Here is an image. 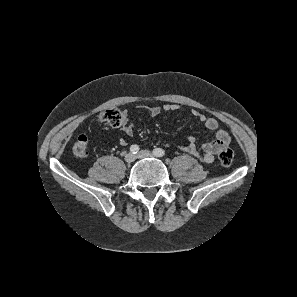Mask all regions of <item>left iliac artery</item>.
<instances>
[{
	"label": "left iliac artery",
	"mask_w": 297,
	"mask_h": 297,
	"mask_svg": "<svg viewBox=\"0 0 297 297\" xmlns=\"http://www.w3.org/2000/svg\"><path fill=\"white\" fill-rule=\"evenodd\" d=\"M153 154L157 157H162L165 155V151L161 148H156L153 150Z\"/></svg>",
	"instance_id": "left-iliac-artery-1"
}]
</instances>
